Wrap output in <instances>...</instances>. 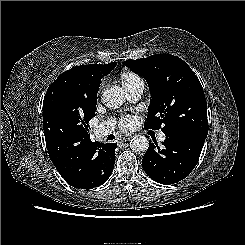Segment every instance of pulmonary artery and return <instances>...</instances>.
Instances as JSON below:
<instances>
[{
	"label": "pulmonary artery",
	"instance_id": "e3ab8cb5",
	"mask_svg": "<svg viewBox=\"0 0 245 245\" xmlns=\"http://www.w3.org/2000/svg\"><path fill=\"white\" fill-rule=\"evenodd\" d=\"M127 95L130 101L135 102L139 100L143 94L144 91V82L142 80H139L136 82L134 85L126 89ZM114 129V123L112 121H106L101 124H99L94 132L95 135L98 138H103L107 135H109ZM158 139L160 141H163L165 139V134L164 133H159L158 134Z\"/></svg>",
	"mask_w": 245,
	"mask_h": 245
}]
</instances>
